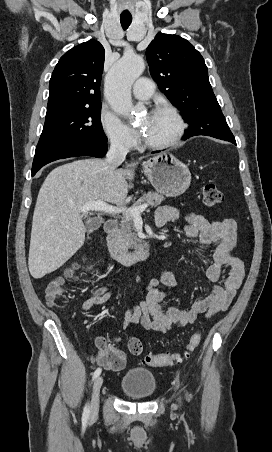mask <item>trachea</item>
I'll use <instances>...</instances> for the list:
<instances>
[{
  "label": "trachea",
  "mask_w": 272,
  "mask_h": 452,
  "mask_svg": "<svg viewBox=\"0 0 272 452\" xmlns=\"http://www.w3.org/2000/svg\"><path fill=\"white\" fill-rule=\"evenodd\" d=\"M120 22H121V26L124 30H126L131 22H132V16H120Z\"/></svg>",
  "instance_id": "1"
}]
</instances>
